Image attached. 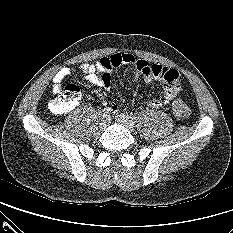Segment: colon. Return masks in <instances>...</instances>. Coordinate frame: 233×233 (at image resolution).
<instances>
[{
  "instance_id": "1",
  "label": "colon",
  "mask_w": 233,
  "mask_h": 233,
  "mask_svg": "<svg viewBox=\"0 0 233 233\" xmlns=\"http://www.w3.org/2000/svg\"><path fill=\"white\" fill-rule=\"evenodd\" d=\"M80 97V88L76 84H69L61 88L58 96L50 102L49 108L56 114H66L73 110ZM190 106L183 100L177 99L172 105V113L177 119H185L190 115Z\"/></svg>"
}]
</instances>
